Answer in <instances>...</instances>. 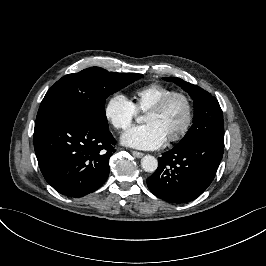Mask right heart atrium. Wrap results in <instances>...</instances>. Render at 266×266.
Here are the masks:
<instances>
[{
    "label": "right heart atrium",
    "instance_id": "d8ad5b80",
    "mask_svg": "<svg viewBox=\"0 0 266 266\" xmlns=\"http://www.w3.org/2000/svg\"><path fill=\"white\" fill-rule=\"evenodd\" d=\"M138 110L133 101L122 93H114L109 96L104 106L105 119L116 129H128L136 116Z\"/></svg>",
    "mask_w": 266,
    "mask_h": 266
}]
</instances>
